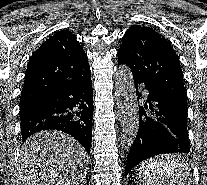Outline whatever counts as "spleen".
<instances>
[{
	"instance_id": "obj_1",
	"label": "spleen",
	"mask_w": 207,
	"mask_h": 185,
	"mask_svg": "<svg viewBox=\"0 0 207 185\" xmlns=\"http://www.w3.org/2000/svg\"><path fill=\"white\" fill-rule=\"evenodd\" d=\"M179 158V151L170 153H155V158H145V162H138L133 171L138 172L144 185H190L193 183L194 173L188 167V159ZM171 177V178H169Z\"/></svg>"
}]
</instances>
